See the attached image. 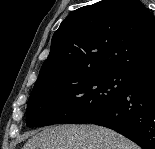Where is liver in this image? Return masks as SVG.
I'll return each mask as SVG.
<instances>
[{"label":"liver","instance_id":"obj_1","mask_svg":"<svg viewBox=\"0 0 155 149\" xmlns=\"http://www.w3.org/2000/svg\"><path fill=\"white\" fill-rule=\"evenodd\" d=\"M22 149H140L115 131L96 125H59L33 135Z\"/></svg>","mask_w":155,"mask_h":149}]
</instances>
